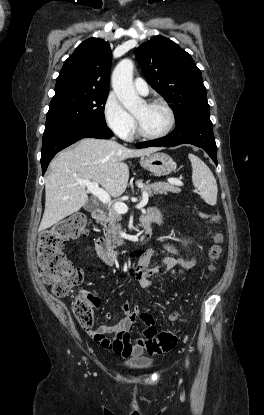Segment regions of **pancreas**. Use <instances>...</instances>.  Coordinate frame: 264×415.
<instances>
[{
    "instance_id": "obj_1",
    "label": "pancreas",
    "mask_w": 264,
    "mask_h": 415,
    "mask_svg": "<svg viewBox=\"0 0 264 415\" xmlns=\"http://www.w3.org/2000/svg\"><path fill=\"white\" fill-rule=\"evenodd\" d=\"M180 188L165 182H154L152 184L146 183L141 187V192H147L148 196L153 194H167L168 192L179 193ZM122 220V215L115 211L114 208H110L106 218L104 219L103 226L106 230V234L110 238V242L114 247L123 244V240L119 236L118 222Z\"/></svg>"
}]
</instances>
